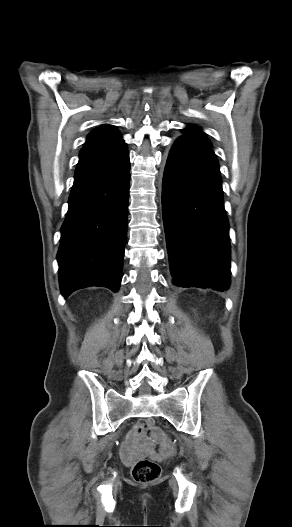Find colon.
I'll use <instances>...</instances> for the list:
<instances>
[{
  "mask_svg": "<svg viewBox=\"0 0 292 527\" xmlns=\"http://www.w3.org/2000/svg\"><path fill=\"white\" fill-rule=\"evenodd\" d=\"M140 425L151 445H154L155 439L160 437L155 433L156 428L154 423L149 420L140 423ZM131 474L133 479L139 483H151L160 478L161 468L152 460L140 459L133 465Z\"/></svg>",
  "mask_w": 292,
  "mask_h": 527,
  "instance_id": "5ec220e1",
  "label": "colon"
}]
</instances>
